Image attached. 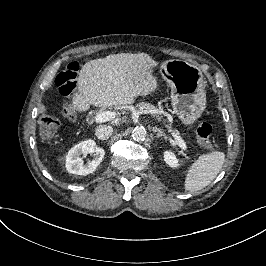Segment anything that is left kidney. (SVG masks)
I'll return each mask as SVG.
<instances>
[{"instance_id":"5707ae66","label":"left kidney","mask_w":266,"mask_h":266,"mask_svg":"<svg viewBox=\"0 0 266 266\" xmlns=\"http://www.w3.org/2000/svg\"><path fill=\"white\" fill-rule=\"evenodd\" d=\"M164 159H165L166 163H168L170 166H176L177 165L176 158L170 152L165 153Z\"/></svg>"}]
</instances>
